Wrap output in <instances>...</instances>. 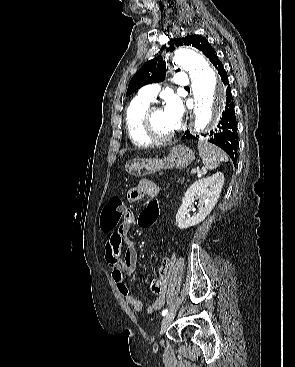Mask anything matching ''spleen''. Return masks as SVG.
Masks as SVG:
<instances>
[{"label": "spleen", "mask_w": 295, "mask_h": 367, "mask_svg": "<svg viewBox=\"0 0 295 367\" xmlns=\"http://www.w3.org/2000/svg\"><path fill=\"white\" fill-rule=\"evenodd\" d=\"M198 151L203 161L204 172H206V170H214L220 163L228 161V156L225 152L207 141L202 140L198 142Z\"/></svg>", "instance_id": "1"}]
</instances>
